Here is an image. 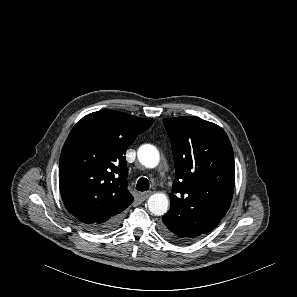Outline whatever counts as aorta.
<instances>
[{"label":"aorta","mask_w":297,"mask_h":297,"mask_svg":"<svg viewBox=\"0 0 297 297\" xmlns=\"http://www.w3.org/2000/svg\"><path fill=\"white\" fill-rule=\"evenodd\" d=\"M139 162L147 168H155L160 161V155L156 147L151 144H143L137 151ZM169 206V200L163 193H155L148 199L149 211L156 216L164 215Z\"/></svg>","instance_id":"obj_1"}]
</instances>
